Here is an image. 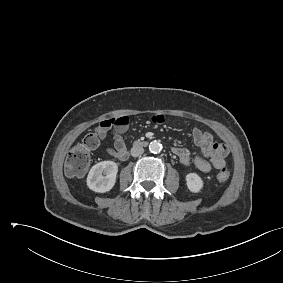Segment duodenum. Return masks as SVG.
Wrapping results in <instances>:
<instances>
[{"label":"duodenum","mask_w":283,"mask_h":283,"mask_svg":"<svg viewBox=\"0 0 283 283\" xmlns=\"http://www.w3.org/2000/svg\"><path fill=\"white\" fill-rule=\"evenodd\" d=\"M146 142H136L135 146H145Z\"/></svg>","instance_id":"duodenum-1"}]
</instances>
